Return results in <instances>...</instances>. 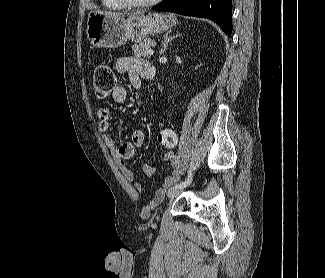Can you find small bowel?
<instances>
[{"instance_id":"obj_1","label":"small bowel","mask_w":325,"mask_h":278,"mask_svg":"<svg viewBox=\"0 0 325 278\" xmlns=\"http://www.w3.org/2000/svg\"><path fill=\"white\" fill-rule=\"evenodd\" d=\"M148 65L149 62L140 57H120L115 63L116 70L119 73H127L129 75L130 82L135 89L140 88L141 78H146V69ZM112 99L115 103L120 105L126 103V89L123 86H118L112 94ZM97 114L99 119V130L103 134V139L110 149L118 169L127 180L133 182L135 180V174L124 164V161L130 160L136 151L143 146L145 141L144 131L142 129H136L129 141L118 144L115 136L109 132L111 122L109 109L106 106H101L99 107ZM167 130V128L163 129L161 130V133L164 134ZM174 135L175 138H177L175 132ZM163 160L171 165L172 173L165 178L163 185L156 190V198L163 196L166 189L178 178V159L175 153L172 150L167 151L163 155ZM158 169L159 167L155 162H148L144 165V171L148 175L155 174ZM134 185L137 190L143 189V185L140 182H135Z\"/></svg>"}]
</instances>
